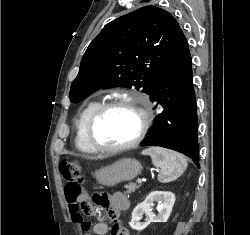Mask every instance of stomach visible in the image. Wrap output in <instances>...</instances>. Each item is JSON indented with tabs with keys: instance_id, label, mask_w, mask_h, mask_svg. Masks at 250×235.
Returning <instances> with one entry per match:
<instances>
[{
	"instance_id": "obj_1",
	"label": "stomach",
	"mask_w": 250,
	"mask_h": 235,
	"mask_svg": "<svg viewBox=\"0 0 250 235\" xmlns=\"http://www.w3.org/2000/svg\"><path fill=\"white\" fill-rule=\"evenodd\" d=\"M142 166L133 158H123L109 166L100 168L96 174V180L108 187H113L121 182L131 181L141 172Z\"/></svg>"
}]
</instances>
